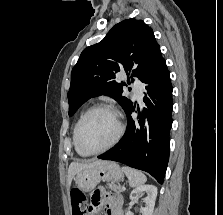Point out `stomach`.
<instances>
[{"mask_svg":"<svg viewBox=\"0 0 223 215\" xmlns=\"http://www.w3.org/2000/svg\"><path fill=\"white\" fill-rule=\"evenodd\" d=\"M74 179L77 183L70 190L92 191L96 187L97 182L102 181H123L124 175L121 167L116 161H101L99 165L89 167V169H82Z\"/></svg>","mask_w":223,"mask_h":215,"instance_id":"0dacf381","label":"stomach"}]
</instances>
